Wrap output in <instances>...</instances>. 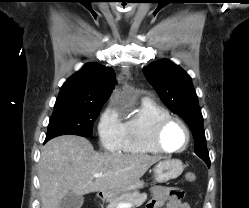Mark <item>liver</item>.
Masks as SVG:
<instances>
[{"instance_id":"6515ba94","label":"liver","mask_w":249,"mask_h":208,"mask_svg":"<svg viewBox=\"0 0 249 208\" xmlns=\"http://www.w3.org/2000/svg\"><path fill=\"white\" fill-rule=\"evenodd\" d=\"M161 157L97 153L84 137L62 135L43 147L38 165L41 208H59L70 191L78 195L126 189ZM106 176L95 178L94 174Z\"/></svg>"}]
</instances>
